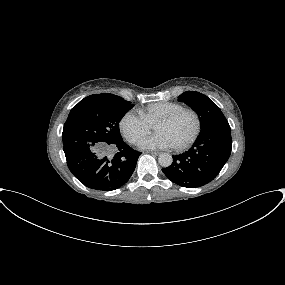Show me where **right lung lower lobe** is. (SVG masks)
Returning a JSON list of instances; mask_svg holds the SVG:
<instances>
[{
	"instance_id": "obj_1",
	"label": "right lung lower lobe",
	"mask_w": 285,
	"mask_h": 285,
	"mask_svg": "<svg viewBox=\"0 0 285 285\" xmlns=\"http://www.w3.org/2000/svg\"><path fill=\"white\" fill-rule=\"evenodd\" d=\"M109 148L116 149L113 157L107 154ZM63 150L72 174L85 186L101 191H112L125 184L141 154L123 140L113 144L68 142Z\"/></svg>"
}]
</instances>
